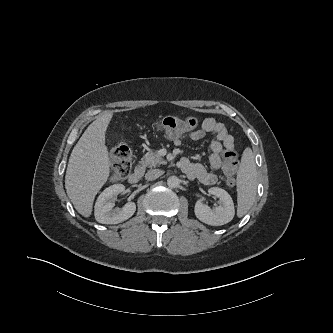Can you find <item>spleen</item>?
I'll return each mask as SVG.
<instances>
[{
    "instance_id": "obj_1",
    "label": "spleen",
    "mask_w": 333,
    "mask_h": 333,
    "mask_svg": "<svg viewBox=\"0 0 333 333\" xmlns=\"http://www.w3.org/2000/svg\"><path fill=\"white\" fill-rule=\"evenodd\" d=\"M257 190V173L254 155L250 148L243 152L241 164L237 172V215L244 216L252 207Z\"/></svg>"
}]
</instances>
